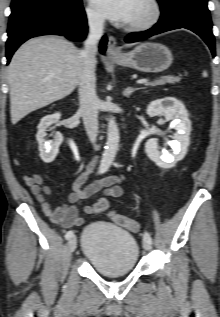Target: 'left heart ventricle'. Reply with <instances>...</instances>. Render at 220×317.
Wrapping results in <instances>:
<instances>
[{"label":"left heart ventricle","mask_w":220,"mask_h":317,"mask_svg":"<svg viewBox=\"0 0 220 317\" xmlns=\"http://www.w3.org/2000/svg\"><path fill=\"white\" fill-rule=\"evenodd\" d=\"M149 13L150 9L145 0H135L132 7L131 17L127 24L143 20Z\"/></svg>","instance_id":"1"}]
</instances>
